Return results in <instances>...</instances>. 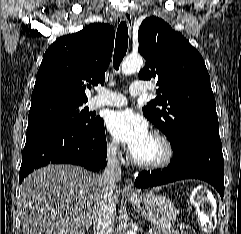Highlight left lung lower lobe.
<instances>
[{
  "label": "left lung lower lobe",
  "instance_id": "obj_1",
  "mask_svg": "<svg viewBox=\"0 0 241 234\" xmlns=\"http://www.w3.org/2000/svg\"><path fill=\"white\" fill-rule=\"evenodd\" d=\"M181 179H201L224 196V160L220 138L194 136L174 150L173 161L163 170L142 171L135 185L139 188L159 186Z\"/></svg>",
  "mask_w": 241,
  "mask_h": 234
}]
</instances>
